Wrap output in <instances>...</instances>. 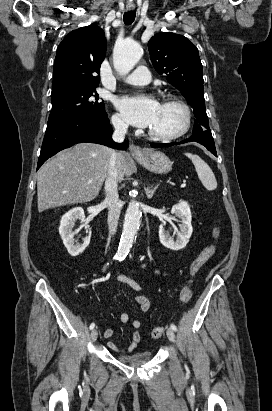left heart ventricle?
I'll use <instances>...</instances> for the list:
<instances>
[{
  "instance_id": "b2bd125f",
  "label": "left heart ventricle",
  "mask_w": 272,
  "mask_h": 411,
  "mask_svg": "<svg viewBox=\"0 0 272 411\" xmlns=\"http://www.w3.org/2000/svg\"><path fill=\"white\" fill-rule=\"evenodd\" d=\"M184 122L182 110L173 104L160 103L156 119L150 129L159 134L177 132Z\"/></svg>"
}]
</instances>
